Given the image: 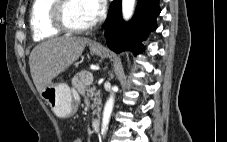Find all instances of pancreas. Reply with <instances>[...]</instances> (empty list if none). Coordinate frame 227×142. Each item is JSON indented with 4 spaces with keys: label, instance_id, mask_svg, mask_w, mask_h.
<instances>
[{
    "label": "pancreas",
    "instance_id": "cf45deb5",
    "mask_svg": "<svg viewBox=\"0 0 227 142\" xmlns=\"http://www.w3.org/2000/svg\"><path fill=\"white\" fill-rule=\"evenodd\" d=\"M88 71H81L77 73L71 80L72 86L78 91L79 94L86 98L93 100L92 108H97L94 110L93 114L99 111V106L101 104V98L97 92H95L94 87H90L87 82Z\"/></svg>",
    "mask_w": 227,
    "mask_h": 142
}]
</instances>
